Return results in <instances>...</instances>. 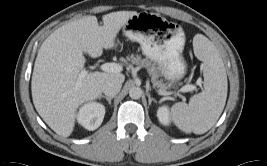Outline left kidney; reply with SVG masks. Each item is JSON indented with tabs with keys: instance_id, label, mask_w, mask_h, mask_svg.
Returning <instances> with one entry per match:
<instances>
[{
	"instance_id": "5707ae66",
	"label": "left kidney",
	"mask_w": 267,
	"mask_h": 166,
	"mask_svg": "<svg viewBox=\"0 0 267 166\" xmlns=\"http://www.w3.org/2000/svg\"><path fill=\"white\" fill-rule=\"evenodd\" d=\"M157 117L163 125H169V112L166 106H162L157 110Z\"/></svg>"
}]
</instances>
